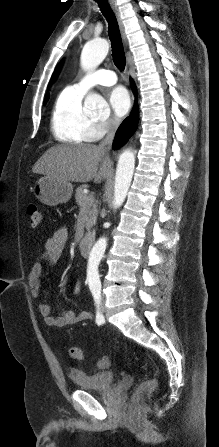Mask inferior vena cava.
Masks as SVG:
<instances>
[{
	"instance_id": "obj_1",
	"label": "inferior vena cava",
	"mask_w": 219,
	"mask_h": 447,
	"mask_svg": "<svg viewBox=\"0 0 219 447\" xmlns=\"http://www.w3.org/2000/svg\"><path fill=\"white\" fill-rule=\"evenodd\" d=\"M120 124V120L118 118H115L112 121V125L105 137V139L100 143V147L103 148L105 151H109L111 149L112 142L114 140V136L117 130L118 125Z\"/></svg>"
}]
</instances>
